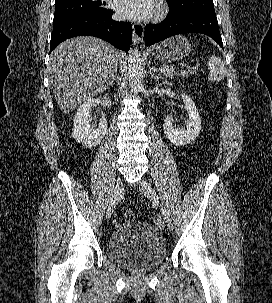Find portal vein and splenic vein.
<instances>
[{
	"label": "portal vein and splenic vein",
	"mask_w": 272,
	"mask_h": 303,
	"mask_svg": "<svg viewBox=\"0 0 272 303\" xmlns=\"http://www.w3.org/2000/svg\"><path fill=\"white\" fill-rule=\"evenodd\" d=\"M166 71H167L166 68H160V69H159V72H160V73H164V72H166Z\"/></svg>",
	"instance_id": "1"
}]
</instances>
